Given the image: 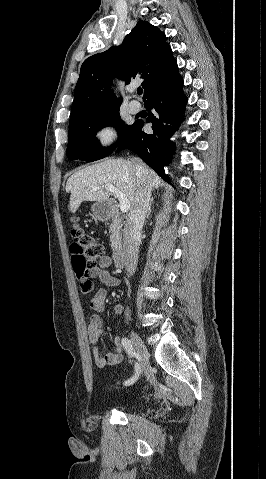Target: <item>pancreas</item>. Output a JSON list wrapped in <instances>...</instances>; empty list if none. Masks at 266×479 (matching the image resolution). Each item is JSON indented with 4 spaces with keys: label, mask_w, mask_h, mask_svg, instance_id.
Instances as JSON below:
<instances>
[{
    "label": "pancreas",
    "mask_w": 266,
    "mask_h": 479,
    "mask_svg": "<svg viewBox=\"0 0 266 479\" xmlns=\"http://www.w3.org/2000/svg\"><path fill=\"white\" fill-rule=\"evenodd\" d=\"M110 242H111V248L114 252L119 251L121 247V240H122V234H121V222L119 219L115 218L110 226Z\"/></svg>",
    "instance_id": "obj_1"
}]
</instances>
